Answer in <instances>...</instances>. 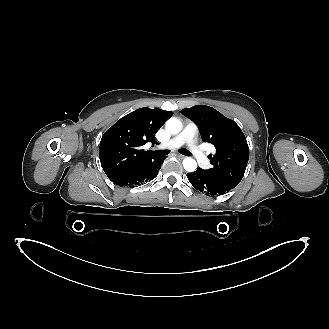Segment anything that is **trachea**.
Segmentation results:
<instances>
[{
  "label": "trachea",
  "instance_id": "3493384b",
  "mask_svg": "<svg viewBox=\"0 0 329 329\" xmlns=\"http://www.w3.org/2000/svg\"><path fill=\"white\" fill-rule=\"evenodd\" d=\"M179 152L183 155H191V153L186 149H181ZM169 153L167 150H157V151H150V154L156 155V156H165Z\"/></svg>",
  "mask_w": 329,
  "mask_h": 329
}]
</instances>
